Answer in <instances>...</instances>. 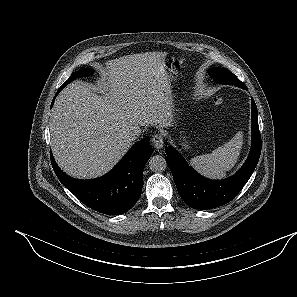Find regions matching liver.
I'll use <instances>...</instances> for the list:
<instances>
[{
    "instance_id": "obj_1",
    "label": "liver",
    "mask_w": 297,
    "mask_h": 297,
    "mask_svg": "<svg viewBox=\"0 0 297 297\" xmlns=\"http://www.w3.org/2000/svg\"><path fill=\"white\" fill-rule=\"evenodd\" d=\"M166 52L122 56L105 63L100 92L77 81L65 87L51 113V148L58 166L75 178L111 170L130 148L129 126L172 125Z\"/></svg>"
}]
</instances>
